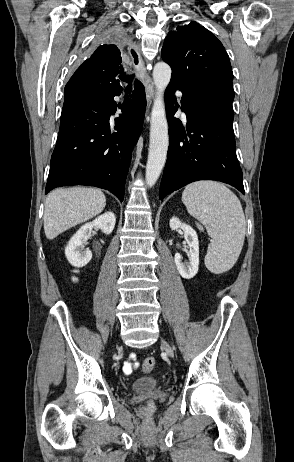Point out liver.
<instances>
[{
  "label": "liver",
  "instance_id": "obj_1",
  "mask_svg": "<svg viewBox=\"0 0 294 462\" xmlns=\"http://www.w3.org/2000/svg\"><path fill=\"white\" fill-rule=\"evenodd\" d=\"M106 198L99 189L74 187L53 190L46 198L44 232L49 240L103 211Z\"/></svg>",
  "mask_w": 294,
  "mask_h": 462
}]
</instances>
